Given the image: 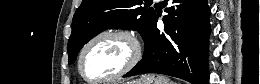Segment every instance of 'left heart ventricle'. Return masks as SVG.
<instances>
[{"mask_svg": "<svg viewBox=\"0 0 260 84\" xmlns=\"http://www.w3.org/2000/svg\"><path fill=\"white\" fill-rule=\"evenodd\" d=\"M131 55L130 45L123 39L104 37L86 52L82 70L90 80H99L119 71Z\"/></svg>", "mask_w": 260, "mask_h": 84, "instance_id": "left-heart-ventricle-1", "label": "left heart ventricle"}]
</instances>
